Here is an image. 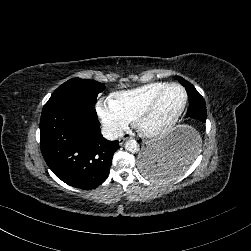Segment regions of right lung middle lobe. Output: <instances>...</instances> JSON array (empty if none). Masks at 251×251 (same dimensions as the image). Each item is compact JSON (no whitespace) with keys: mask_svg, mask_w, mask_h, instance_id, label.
<instances>
[{"mask_svg":"<svg viewBox=\"0 0 251 251\" xmlns=\"http://www.w3.org/2000/svg\"><path fill=\"white\" fill-rule=\"evenodd\" d=\"M104 89V84L100 82L73 78L59 86L45 105L72 102L94 107L98 94Z\"/></svg>","mask_w":251,"mask_h":251,"instance_id":"obj_1","label":"right lung middle lobe"}]
</instances>
